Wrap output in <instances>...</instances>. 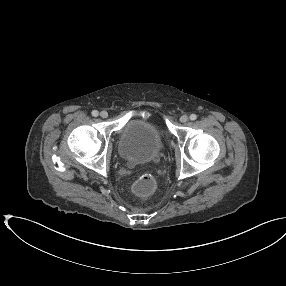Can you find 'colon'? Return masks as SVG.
Returning a JSON list of instances; mask_svg holds the SVG:
<instances>
[{
    "label": "colon",
    "mask_w": 286,
    "mask_h": 286,
    "mask_svg": "<svg viewBox=\"0 0 286 286\" xmlns=\"http://www.w3.org/2000/svg\"><path fill=\"white\" fill-rule=\"evenodd\" d=\"M156 187L154 177L151 174L142 175L133 185V191L137 196H150Z\"/></svg>",
    "instance_id": "obj_1"
}]
</instances>
